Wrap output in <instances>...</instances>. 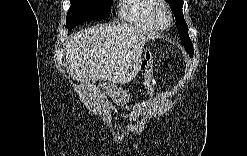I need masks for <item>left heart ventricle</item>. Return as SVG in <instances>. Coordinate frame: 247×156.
<instances>
[{
  "label": "left heart ventricle",
  "mask_w": 247,
  "mask_h": 156,
  "mask_svg": "<svg viewBox=\"0 0 247 156\" xmlns=\"http://www.w3.org/2000/svg\"><path fill=\"white\" fill-rule=\"evenodd\" d=\"M159 21L162 23V24H166L168 22V17L166 15L165 12H161L159 14Z\"/></svg>",
  "instance_id": "left-heart-ventricle-1"
}]
</instances>
